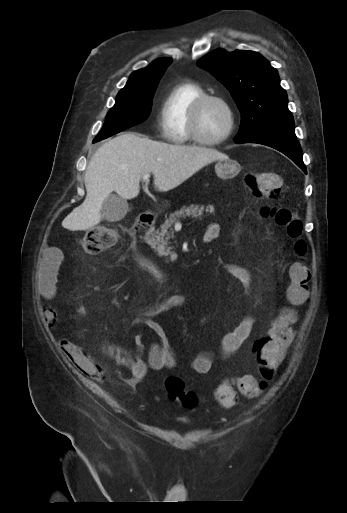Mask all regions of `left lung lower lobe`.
Instances as JSON below:
<instances>
[{
  "label": "left lung lower lobe",
  "instance_id": "1",
  "mask_svg": "<svg viewBox=\"0 0 347 513\" xmlns=\"http://www.w3.org/2000/svg\"><path fill=\"white\" fill-rule=\"evenodd\" d=\"M237 143H257L272 147L293 160L305 173L301 146L296 138L294 123L268 126L262 130L236 141Z\"/></svg>",
  "mask_w": 347,
  "mask_h": 513
}]
</instances>
